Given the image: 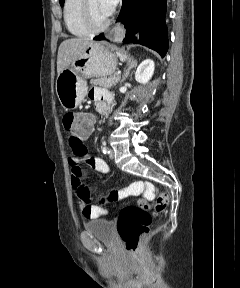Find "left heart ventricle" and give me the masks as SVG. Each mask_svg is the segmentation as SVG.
Listing matches in <instances>:
<instances>
[{"instance_id":"1","label":"left heart ventricle","mask_w":240,"mask_h":288,"mask_svg":"<svg viewBox=\"0 0 240 288\" xmlns=\"http://www.w3.org/2000/svg\"><path fill=\"white\" fill-rule=\"evenodd\" d=\"M89 7L95 24L100 25L108 19V16L100 7L99 0H89Z\"/></svg>"}]
</instances>
